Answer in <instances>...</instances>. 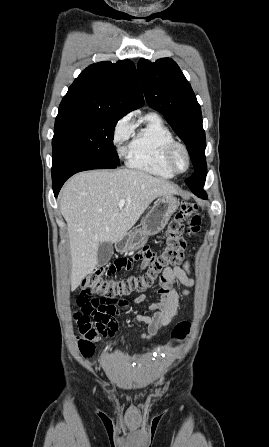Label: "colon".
Returning a JSON list of instances; mask_svg holds the SVG:
<instances>
[{
	"mask_svg": "<svg viewBox=\"0 0 269 447\" xmlns=\"http://www.w3.org/2000/svg\"><path fill=\"white\" fill-rule=\"evenodd\" d=\"M201 227V215L196 203H183L169 221L164 238L165 247L161 252L148 249L132 254L131 257H117L116 262H107L104 271L96 267L82 282L84 292L78 298L81 307L75 313L79 327L78 348L80 353L91 356L99 339H113L119 330L118 322H111V315L116 307L113 300L93 299L90 296L113 298L127 295L133 290L151 287L157 279L162 280L164 273L177 266L183 259L186 238L198 235ZM141 261V262H133ZM108 267L118 271H146L142 276L129 279H116L106 275ZM127 301V298H124ZM94 321H93V320ZM191 330L188 321L178 322L171 331L174 342L183 340Z\"/></svg>",
	"mask_w": 269,
	"mask_h": 447,
	"instance_id": "5ec220e1",
	"label": "colon"
}]
</instances>
